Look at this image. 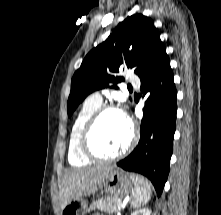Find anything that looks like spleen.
Returning a JSON list of instances; mask_svg holds the SVG:
<instances>
[{
    "mask_svg": "<svg viewBox=\"0 0 221 215\" xmlns=\"http://www.w3.org/2000/svg\"><path fill=\"white\" fill-rule=\"evenodd\" d=\"M132 175L136 177L134 190L132 191L131 206L133 208H139L150 200L152 194L151 186L143 177Z\"/></svg>",
    "mask_w": 221,
    "mask_h": 215,
    "instance_id": "3e777b00",
    "label": "spleen"
}]
</instances>
